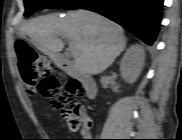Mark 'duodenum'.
<instances>
[{
	"label": "duodenum",
	"instance_id": "1",
	"mask_svg": "<svg viewBox=\"0 0 182 140\" xmlns=\"http://www.w3.org/2000/svg\"><path fill=\"white\" fill-rule=\"evenodd\" d=\"M55 53H52L51 56H54ZM56 64L59 68L64 69L68 73H70L73 76H76L80 79V81L83 83L85 88V94L89 99H92L95 97L97 93V85L95 80L87 75L86 73L80 71L75 64L73 63L72 59L68 55H62L60 57H57Z\"/></svg>",
	"mask_w": 182,
	"mask_h": 140
}]
</instances>
